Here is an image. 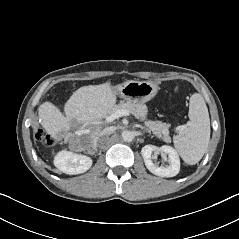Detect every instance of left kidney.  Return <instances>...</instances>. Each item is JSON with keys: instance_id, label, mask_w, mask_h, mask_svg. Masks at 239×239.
Returning a JSON list of instances; mask_svg holds the SVG:
<instances>
[{"instance_id": "obj_1", "label": "left kidney", "mask_w": 239, "mask_h": 239, "mask_svg": "<svg viewBox=\"0 0 239 239\" xmlns=\"http://www.w3.org/2000/svg\"><path fill=\"white\" fill-rule=\"evenodd\" d=\"M153 152H161L168 155L170 162L169 166L159 167L153 163ZM142 157L147 169L154 175L160 177H173L180 171V159L176 150L170 146L164 145L162 147H156L154 145H145L141 150Z\"/></svg>"}]
</instances>
